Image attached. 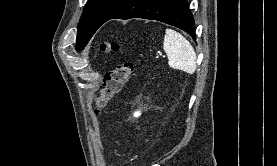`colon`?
I'll list each match as a JSON object with an SVG mask.
<instances>
[{"label": "colon", "instance_id": "5ec220e1", "mask_svg": "<svg viewBox=\"0 0 277 166\" xmlns=\"http://www.w3.org/2000/svg\"><path fill=\"white\" fill-rule=\"evenodd\" d=\"M120 49V44L116 41L103 42L100 51L103 53L116 52ZM134 72L132 62H123L114 69L107 72L102 81V88L94 103V112L100 114L115 96L122 90L124 84L130 79Z\"/></svg>", "mask_w": 277, "mask_h": 166}]
</instances>
